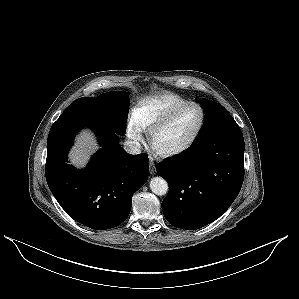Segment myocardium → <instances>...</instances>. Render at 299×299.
I'll list each match as a JSON object with an SVG mask.
<instances>
[{"mask_svg": "<svg viewBox=\"0 0 299 299\" xmlns=\"http://www.w3.org/2000/svg\"><path fill=\"white\" fill-rule=\"evenodd\" d=\"M191 106L198 107L201 111V120L193 136L184 145L174 150L166 151V152H160L155 150L153 147V139L155 135L162 129L169 126L185 109ZM205 122H206V111L204 107L197 102H188L184 105L179 106L178 108L173 110L170 114H168L166 117H164L162 120H160L159 122H157L156 124L150 127L148 132V143L157 152V154L163 158H174L180 156L185 152H187L196 143V141L198 140V138L200 137L203 131Z\"/></svg>", "mask_w": 299, "mask_h": 299, "instance_id": "1", "label": "myocardium"}]
</instances>
